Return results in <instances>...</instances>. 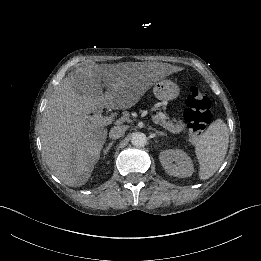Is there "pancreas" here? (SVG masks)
Wrapping results in <instances>:
<instances>
[{
  "label": "pancreas",
  "mask_w": 261,
  "mask_h": 261,
  "mask_svg": "<svg viewBox=\"0 0 261 261\" xmlns=\"http://www.w3.org/2000/svg\"><path fill=\"white\" fill-rule=\"evenodd\" d=\"M154 116L158 119V122L161 123V126L171 133L177 134L185 130V124L182 120H168L169 118L163 112H158Z\"/></svg>",
  "instance_id": "obj_1"
}]
</instances>
